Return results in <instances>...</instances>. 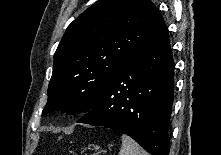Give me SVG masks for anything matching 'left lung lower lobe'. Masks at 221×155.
<instances>
[{"mask_svg":"<svg viewBox=\"0 0 221 155\" xmlns=\"http://www.w3.org/2000/svg\"><path fill=\"white\" fill-rule=\"evenodd\" d=\"M174 61L162 17L77 122L105 126L132 137L151 155H169L168 125Z\"/></svg>","mask_w":221,"mask_h":155,"instance_id":"0a47b994","label":"left lung lower lobe"}]
</instances>
